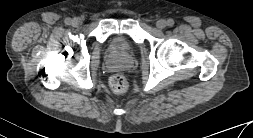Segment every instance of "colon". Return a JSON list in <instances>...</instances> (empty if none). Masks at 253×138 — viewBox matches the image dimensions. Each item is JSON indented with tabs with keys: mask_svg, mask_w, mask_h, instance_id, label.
<instances>
[{
	"mask_svg": "<svg viewBox=\"0 0 253 138\" xmlns=\"http://www.w3.org/2000/svg\"><path fill=\"white\" fill-rule=\"evenodd\" d=\"M111 90L117 94L122 95L126 93L128 89V82L124 75L117 73L111 76L110 81Z\"/></svg>",
	"mask_w": 253,
	"mask_h": 138,
	"instance_id": "colon-1",
	"label": "colon"
}]
</instances>
